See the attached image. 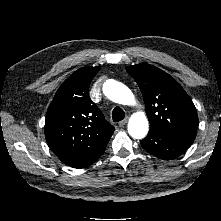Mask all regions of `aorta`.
I'll return each mask as SVG.
<instances>
[{"instance_id": "obj_1", "label": "aorta", "mask_w": 221, "mask_h": 221, "mask_svg": "<svg viewBox=\"0 0 221 221\" xmlns=\"http://www.w3.org/2000/svg\"><path fill=\"white\" fill-rule=\"evenodd\" d=\"M105 95L113 102L123 105L134 104V95L124 84L108 80L103 86ZM149 130V122L144 112L133 114L128 122V133L134 139L144 138Z\"/></svg>"}]
</instances>
